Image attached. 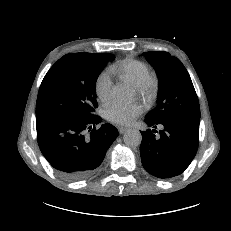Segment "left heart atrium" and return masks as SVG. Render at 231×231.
Wrapping results in <instances>:
<instances>
[{
  "mask_svg": "<svg viewBox=\"0 0 231 231\" xmlns=\"http://www.w3.org/2000/svg\"><path fill=\"white\" fill-rule=\"evenodd\" d=\"M142 112L143 106L140 103L113 102L107 107L106 116L115 124L130 125Z\"/></svg>",
  "mask_w": 231,
  "mask_h": 231,
  "instance_id": "1",
  "label": "left heart atrium"
}]
</instances>
